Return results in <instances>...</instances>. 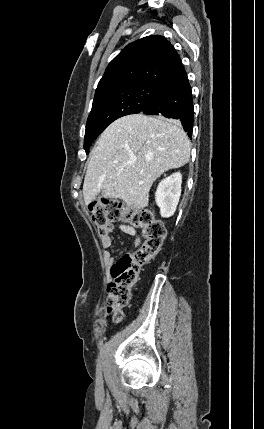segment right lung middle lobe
Instances as JSON below:
<instances>
[{"mask_svg": "<svg viewBox=\"0 0 264 429\" xmlns=\"http://www.w3.org/2000/svg\"><path fill=\"white\" fill-rule=\"evenodd\" d=\"M158 86L138 84L117 89L94 98L88 116L84 149L89 152L91 143L114 120L129 114L140 113L156 92Z\"/></svg>", "mask_w": 264, "mask_h": 429, "instance_id": "obj_1", "label": "right lung middle lobe"}]
</instances>
